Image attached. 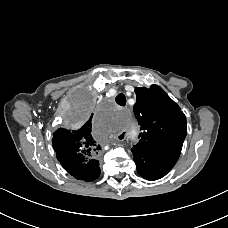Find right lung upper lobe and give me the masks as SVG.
I'll return each instance as SVG.
<instances>
[{
  "label": "right lung upper lobe",
  "mask_w": 228,
  "mask_h": 228,
  "mask_svg": "<svg viewBox=\"0 0 228 228\" xmlns=\"http://www.w3.org/2000/svg\"><path fill=\"white\" fill-rule=\"evenodd\" d=\"M92 117L77 129L60 128L53 134L52 144L60 162L70 161L81 172L82 179L93 180L96 160L101 150L92 135Z\"/></svg>",
  "instance_id": "right-lung-upper-lobe-1"
}]
</instances>
